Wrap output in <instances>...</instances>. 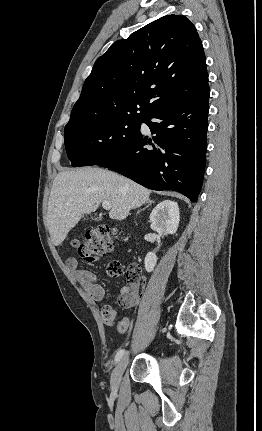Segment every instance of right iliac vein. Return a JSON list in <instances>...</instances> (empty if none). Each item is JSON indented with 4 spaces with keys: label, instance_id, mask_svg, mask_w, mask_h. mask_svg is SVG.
<instances>
[{
    "label": "right iliac vein",
    "instance_id": "63e3f726",
    "mask_svg": "<svg viewBox=\"0 0 262 431\" xmlns=\"http://www.w3.org/2000/svg\"><path fill=\"white\" fill-rule=\"evenodd\" d=\"M129 361V357L128 355L124 356L119 363L117 364V366L115 367V369L113 370L112 376H111V385L113 388H118L119 383H120V379L121 376L128 364Z\"/></svg>",
    "mask_w": 262,
    "mask_h": 431
}]
</instances>
